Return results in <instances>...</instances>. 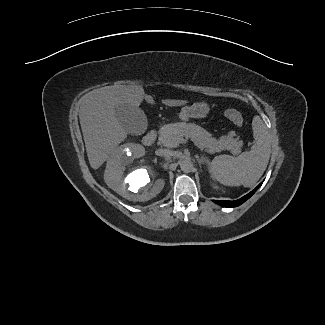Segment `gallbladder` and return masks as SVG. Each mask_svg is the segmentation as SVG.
Here are the masks:
<instances>
[{
    "mask_svg": "<svg viewBox=\"0 0 325 325\" xmlns=\"http://www.w3.org/2000/svg\"><path fill=\"white\" fill-rule=\"evenodd\" d=\"M116 117L131 135H141L147 129V117L143 110L138 107L121 104L116 108Z\"/></svg>",
    "mask_w": 325,
    "mask_h": 325,
    "instance_id": "bac80fb5",
    "label": "gallbladder"
}]
</instances>
